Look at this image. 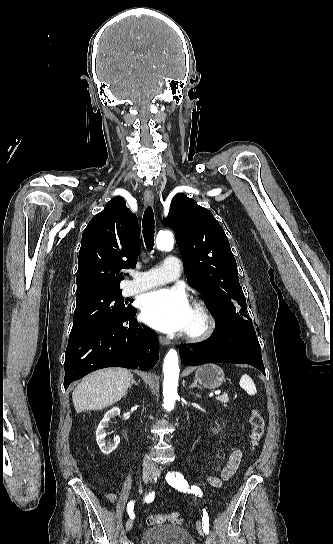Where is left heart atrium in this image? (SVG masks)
<instances>
[{
    "instance_id": "39dd6f15",
    "label": "left heart atrium",
    "mask_w": 333,
    "mask_h": 544,
    "mask_svg": "<svg viewBox=\"0 0 333 544\" xmlns=\"http://www.w3.org/2000/svg\"><path fill=\"white\" fill-rule=\"evenodd\" d=\"M191 313L188 297L180 288L155 290L146 294L141 301L142 320L166 333L186 330Z\"/></svg>"
}]
</instances>
